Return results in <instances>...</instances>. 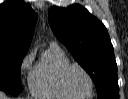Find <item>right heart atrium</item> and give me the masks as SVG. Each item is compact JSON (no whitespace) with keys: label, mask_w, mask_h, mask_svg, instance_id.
<instances>
[{"label":"right heart atrium","mask_w":128,"mask_h":99,"mask_svg":"<svg viewBox=\"0 0 128 99\" xmlns=\"http://www.w3.org/2000/svg\"><path fill=\"white\" fill-rule=\"evenodd\" d=\"M34 59V52H29L21 62V71L25 72L30 69Z\"/></svg>","instance_id":"right-heart-atrium-1"}]
</instances>
